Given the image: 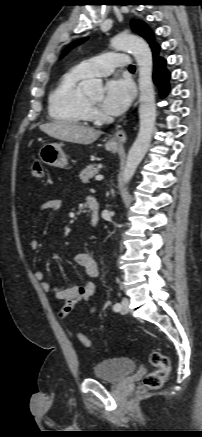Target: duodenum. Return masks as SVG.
<instances>
[{
  "mask_svg": "<svg viewBox=\"0 0 202 437\" xmlns=\"http://www.w3.org/2000/svg\"><path fill=\"white\" fill-rule=\"evenodd\" d=\"M87 205L90 211V225L95 227L99 219V202L95 197L89 196L87 199Z\"/></svg>",
  "mask_w": 202,
  "mask_h": 437,
  "instance_id": "duodenum-1",
  "label": "duodenum"
}]
</instances>
